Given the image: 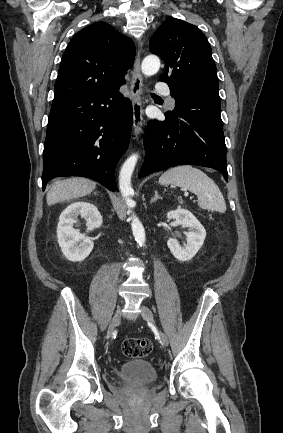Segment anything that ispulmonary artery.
<instances>
[{
  "label": "pulmonary artery",
  "mask_w": 283,
  "mask_h": 433,
  "mask_svg": "<svg viewBox=\"0 0 283 433\" xmlns=\"http://www.w3.org/2000/svg\"><path fill=\"white\" fill-rule=\"evenodd\" d=\"M153 88L155 92H158L159 96H168L169 105L174 106L175 98L170 95L171 89L167 83H155Z\"/></svg>",
  "instance_id": "pulmonary-artery-1"
}]
</instances>
